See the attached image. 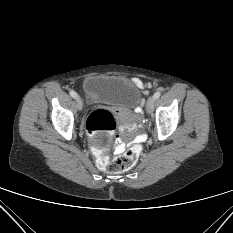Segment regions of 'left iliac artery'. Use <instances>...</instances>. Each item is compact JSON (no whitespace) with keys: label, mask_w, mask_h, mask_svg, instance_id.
<instances>
[{"label":"left iliac artery","mask_w":233,"mask_h":233,"mask_svg":"<svg viewBox=\"0 0 233 233\" xmlns=\"http://www.w3.org/2000/svg\"><path fill=\"white\" fill-rule=\"evenodd\" d=\"M160 95H161V91L158 90V91H156V92L154 93L153 97H154V99L156 100V99H158V98L160 97Z\"/></svg>","instance_id":"left-iliac-artery-1"}]
</instances>
